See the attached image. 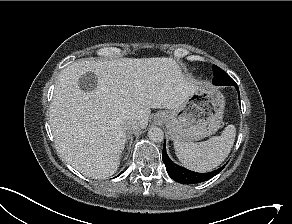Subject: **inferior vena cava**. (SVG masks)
Returning a JSON list of instances; mask_svg holds the SVG:
<instances>
[{
    "label": "inferior vena cava",
    "instance_id": "1",
    "mask_svg": "<svg viewBox=\"0 0 292 224\" xmlns=\"http://www.w3.org/2000/svg\"><path fill=\"white\" fill-rule=\"evenodd\" d=\"M123 128L128 132H134L139 129V124L136 120L132 118H127L122 121Z\"/></svg>",
    "mask_w": 292,
    "mask_h": 224
}]
</instances>
